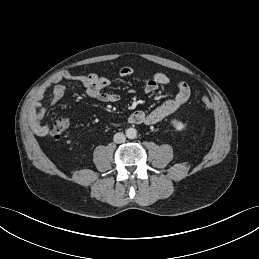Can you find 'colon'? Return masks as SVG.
Instances as JSON below:
<instances>
[{
    "mask_svg": "<svg viewBox=\"0 0 259 259\" xmlns=\"http://www.w3.org/2000/svg\"><path fill=\"white\" fill-rule=\"evenodd\" d=\"M201 102L206 110L212 109V104L209 99L203 97ZM68 127L69 120L67 118H61L53 124L52 128L50 129V136L54 139H61L65 136Z\"/></svg>",
    "mask_w": 259,
    "mask_h": 259,
    "instance_id": "5ec220e1",
    "label": "colon"
}]
</instances>
